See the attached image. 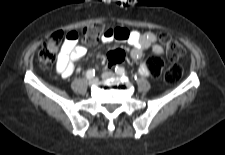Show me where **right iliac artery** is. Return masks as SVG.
Segmentation results:
<instances>
[{
  "label": "right iliac artery",
  "mask_w": 225,
  "mask_h": 155,
  "mask_svg": "<svg viewBox=\"0 0 225 155\" xmlns=\"http://www.w3.org/2000/svg\"><path fill=\"white\" fill-rule=\"evenodd\" d=\"M95 76V70L94 69H90V70H88L87 72H86V77H87V79H91V78H93Z\"/></svg>",
  "instance_id": "1"
}]
</instances>
